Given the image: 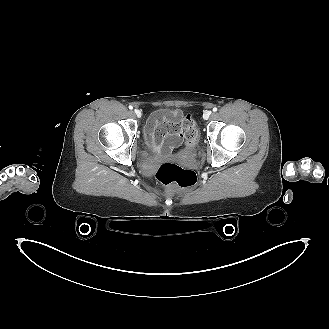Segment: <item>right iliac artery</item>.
<instances>
[{
  "mask_svg": "<svg viewBox=\"0 0 329 329\" xmlns=\"http://www.w3.org/2000/svg\"><path fill=\"white\" fill-rule=\"evenodd\" d=\"M129 109H130V110H132V109H133V107H132V106H129Z\"/></svg>",
  "mask_w": 329,
  "mask_h": 329,
  "instance_id": "obj_1",
  "label": "right iliac artery"
}]
</instances>
